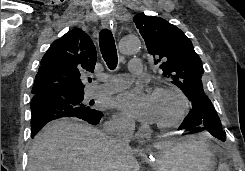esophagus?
Segmentation results:
<instances>
[{
    "instance_id": "34e87169",
    "label": "esophagus",
    "mask_w": 245,
    "mask_h": 171,
    "mask_svg": "<svg viewBox=\"0 0 245 171\" xmlns=\"http://www.w3.org/2000/svg\"><path fill=\"white\" fill-rule=\"evenodd\" d=\"M101 25H102V28L108 29L109 27H111V22L109 21L108 18H103L101 21Z\"/></svg>"
}]
</instances>
